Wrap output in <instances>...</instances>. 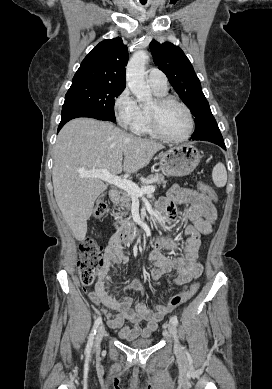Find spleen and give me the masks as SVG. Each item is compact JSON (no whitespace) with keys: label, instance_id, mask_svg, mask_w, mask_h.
Wrapping results in <instances>:
<instances>
[{"label":"spleen","instance_id":"spleen-1","mask_svg":"<svg viewBox=\"0 0 272 389\" xmlns=\"http://www.w3.org/2000/svg\"><path fill=\"white\" fill-rule=\"evenodd\" d=\"M212 179L217 187H224L227 183V171L223 163H217L212 170Z\"/></svg>","mask_w":272,"mask_h":389}]
</instances>
